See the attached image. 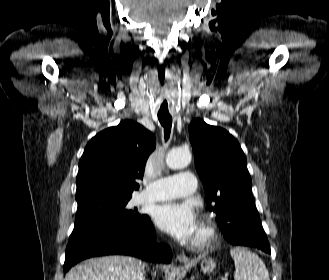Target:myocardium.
I'll use <instances>...</instances> for the list:
<instances>
[{
    "mask_svg": "<svg viewBox=\"0 0 329 280\" xmlns=\"http://www.w3.org/2000/svg\"><path fill=\"white\" fill-rule=\"evenodd\" d=\"M215 237L216 233L214 228L210 224L204 222L200 225L198 235L191 245L195 249H204L214 241Z\"/></svg>",
    "mask_w": 329,
    "mask_h": 280,
    "instance_id": "myocardium-1",
    "label": "myocardium"
}]
</instances>
